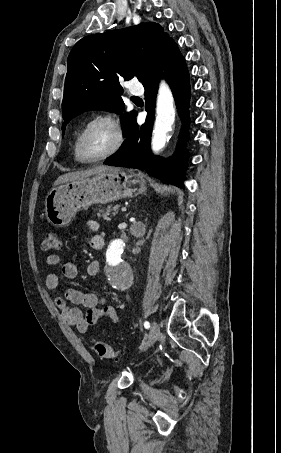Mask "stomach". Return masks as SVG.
<instances>
[{"label": "stomach", "instance_id": "stomach-1", "mask_svg": "<svg viewBox=\"0 0 281 453\" xmlns=\"http://www.w3.org/2000/svg\"><path fill=\"white\" fill-rule=\"evenodd\" d=\"M146 190L141 172L132 168H116L87 176L81 180H69L54 186L45 198V214L53 227H68L78 210H86L91 204H106L118 198H132Z\"/></svg>", "mask_w": 281, "mask_h": 453}]
</instances>
